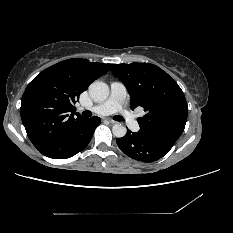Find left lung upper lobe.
Masks as SVG:
<instances>
[{
	"mask_svg": "<svg viewBox=\"0 0 233 233\" xmlns=\"http://www.w3.org/2000/svg\"><path fill=\"white\" fill-rule=\"evenodd\" d=\"M111 72L126 86L131 108H144L138 118L139 134L173 144L184 131L188 106L185 96L166 72L151 63L110 64Z\"/></svg>",
	"mask_w": 233,
	"mask_h": 233,
	"instance_id": "left-lung-upper-lobe-1",
	"label": "left lung upper lobe"
}]
</instances>
